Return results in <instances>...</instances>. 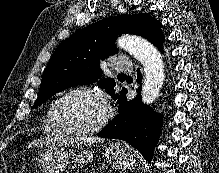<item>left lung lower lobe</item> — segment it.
Listing matches in <instances>:
<instances>
[{
    "mask_svg": "<svg viewBox=\"0 0 219 173\" xmlns=\"http://www.w3.org/2000/svg\"><path fill=\"white\" fill-rule=\"evenodd\" d=\"M163 41L164 38L156 43L161 52ZM137 74V81L140 83L142 75L139 69ZM138 92L140 93V90ZM126 93L127 89H124L118 98V116L97 135L124 140L136 148L148 162H151L154 148L160 137L162 117L142 103L140 94L135 99L127 101Z\"/></svg>",
    "mask_w": 219,
    "mask_h": 173,
    "instance_id": "0a47b994",
    "label": "left lung lower lobe"
}]
</instances>
